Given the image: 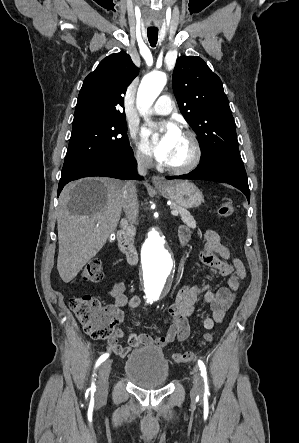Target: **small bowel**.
Returning <instances> with one entry per match:
<instances>
[{"label":"small bowel","mask_w":299,"mask_h":443,"mask_svg":"<svg viewBox=\"0 0 299 443\" xmlns=\"http://www.w3.org/2000/svg\"><path fill=\"white\" fill-rule=\"evenodd\" d=\"M190 238V230L187 226L179 227V239L186 243ZM205 246L199 254L200 261L212 272L228 277L227 286L220 287L216 292L206 285H183L176 293L175 301L169 306L168 314L170 323L163 335L152 338L146 333H129L127 345H122L119 340L123 332L117 329L108 343V349L113 353L125 357L132 348L141 346L165 347L173 342H182L190 334L188 318L193 316L199 296L203 295L204 302L210 305L212 315L206 317L203 325L211 330L216 323H221L232 306L235 292L240 289L247 277V270L242 261L234 257L225 247L219 235L213 230L204 233ZM126 281L115 283L109 290V295L114 298L115 304L109 309L114 313L119 323L124 320V313L120 309L128 306L135 309L140 306L141 298L133 295L128 298L125 294Z\"/></svg>","instance_id":"c3829d8e"}]
</instances>
